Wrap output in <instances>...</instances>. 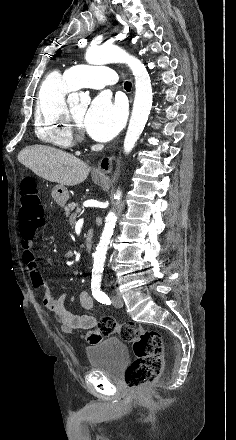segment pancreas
Segmentation results:
<instances>
[{"instance_id":"pancreas-1","label":"pancreas","mask_w":236,"mask_h":440,"mask_svg":"<svg viewBox=\"0 0 236 440\" xmlns=\"http://www.w3.org/2000/svg\"><path fill=\"white\" fill-rule=\"evenodd\" d=\"M78 204L77 203H69L65 208V216L66 217H70L72 220L75 219L76 214L72 213V211L75 209V207H77Z\"/></svg>"}]
</instances>
